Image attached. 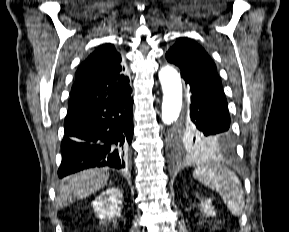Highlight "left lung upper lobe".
I'll return each instance as SVG.
<instances>
[{
    "instance_id": "left-lung-upper-lobe-1",
    "label": "left lung upper lobe",
    "mask_w": 289,
    "mask_h": 232,
    "mask_svg": "<svg viewBox=\"0 0 289 232\" xmlns=\"http://www.w3.org/2000/svg\"><path fill=\"white\" fill-rule=\"evenodd\" d=\"M166 59L179 66L181 71L203 75L221 84L214 62L200 45L188 38H178L167 51ZM173 139L175 146L190 151H207L214 147L194 132L190 124L179 125Z\"/></svg>"
}]
</instances>
